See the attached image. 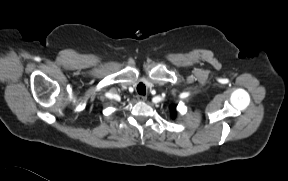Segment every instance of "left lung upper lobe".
<instances>
[{"instance_id": "left-lung-upper-lobe-1", "label": "left lung upper lobe", "mask_w": 288, "mask_h": 181, "mask_svg": "<svg viewBox=\"0 0 288 181\" xmlns=\"http://www.w3.org/2000/svg\"><path fill=\"white\" fill-rule=\"evenodd\" d=\"M171 110H172L173 117H175L176 107L175 106H171Z\"/></svg>"}]
</instances>
